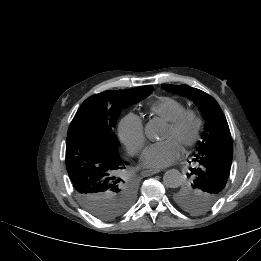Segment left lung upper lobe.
<instances>
[{"label": "left lung upper lobe", "instance_id": "obj_1", "mask_svg": "<svg viewBox=\"0 0 261 261\" xmlns=\"http://www.w3.org/2000/svg\"><path fill=\"white\" fill-rule=\"evenodd\" d=\"M166 91L191 99L205 120L202 140L193 161L191 180L178 187L173 199L182 209L199 214L209 210L221 197L226 186L233 155V144L227 120L217 101L207 93L185 85H164ZM204 171L203 176H199Z\"/></svg>", "mask_w": 261, "mask_h": 261}]
</instances>
